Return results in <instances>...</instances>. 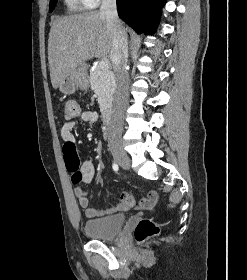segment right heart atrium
I'll use <instances>...</instances> for the list:
<instances>
[{
	"mask_svg": "<svg viewBox=\"0 0 247 280\" xmlns=\"http://www.w3.org/2000/svg\"><path fill=\"white\" fill-rule=\"evenodd\" d=\"M83 5L86 7H95L97 6L102 0H81Z\"/></svg>",
	"mask_w": 247,
	"mask_h": 280,
	"instance_id": "obj_1",
	"label": "right heart atrium"
}]
</instances>
